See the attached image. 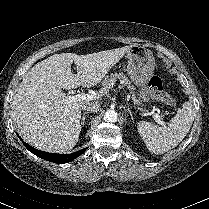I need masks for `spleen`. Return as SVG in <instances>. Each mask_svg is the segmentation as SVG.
<instances>
[{
    "label": "spleen",
    "mask_w": 209,
    "mask_h": 209,
    "mask_svg": "<svg viewBox=\"0 0 209 209\" xmlns=\"http://www.w3.org/2000/svg\"><path fill=\"white\" fill-rule=\"evenodd\" d=\"M194 116L193 105L185 102L166 126L157 127L149 122L140 121L137 129L151 153L163 154L175 148L185 138Z\"/></svg>",
    "instance_id": "3e777b00"
}]
</instances>
